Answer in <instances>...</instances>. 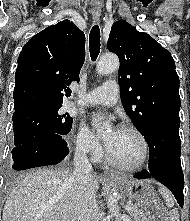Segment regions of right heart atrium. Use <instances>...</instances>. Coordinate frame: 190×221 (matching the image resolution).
Listing matches in <instances>:
<instances>
[{"instance_id": "1", "label": "right heart atrium", "mask_w": 190, "mask_h": 221, "mask_svg": "<svg viewBox=\"0 0 190 221\" xmlns=\"http://www.w3.org/2000/svg\"><path fill=\"white\" fill-rule=\"evenodd\" d=\"M75 148L77 152L97 159L103 152L99 140L84 126H80L75 136Z\"/></svg>"}]
</instances>
